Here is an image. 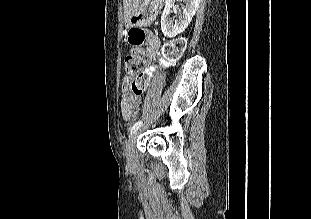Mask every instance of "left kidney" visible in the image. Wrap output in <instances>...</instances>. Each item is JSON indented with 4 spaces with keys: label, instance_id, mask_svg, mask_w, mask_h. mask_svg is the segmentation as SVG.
<instances>
[{
    "label": "left kidney",
    "instance_id": "1",
    "mask_svg": "<svg viewBox=\"0 0 311 219\" xmlns=\"http://www.w3.org/2000/svg\"><path fill=\"white\" fill-rule=\"evenodd\" d=\"M184 1L186 2V5L183 7L182 15L179 16L175 23L170 18L175 0L165 1V8L161 16V30L168 38L175 37L188 27L201 2V0Z\"/></svg>",
    "mask_w": 311,
    "mask_h": 219
}]
</instances>
